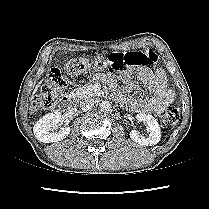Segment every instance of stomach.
Segmentation results:
<instances>
[{
	"label": "stomach",
	"mask_w": 209,
	"mask_h": 209,
	"mask_svg": "<svg viewBox=\"0 0 209 209\" xmlns=\"http://www.w3.org/2000/svg\"><path fill=\"white\" fill-rule=\"evenodd\" d=\"M95 69L94 62L87 57L68 59L62 67L63 73L70 78L90 76Z\"/></svg>",
	"instance_id": "0dacf381"
}]
</instances>
